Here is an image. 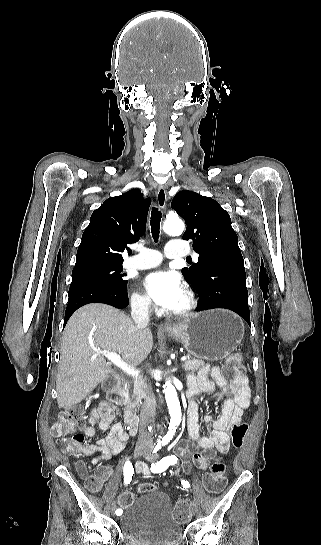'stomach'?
<instances>
[{"instance_id":"1","label":"stomach","mask_w":321,"mask_h":545,"mask_svg":"<svg viewBox=\"0 0 321 545\" xmlns=\"http://www.w3.org/2000/svg\"><path fill=\"white\" fill-rule=\"evenodd\" d=\"M165 333L183 343L193 357L219 361L239 347L244 337V323L231 311L213 309L195 313Z\"/></svg>"}]
</instances>
